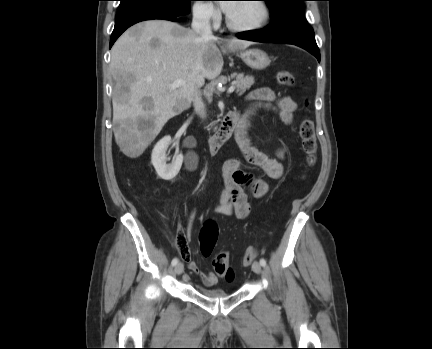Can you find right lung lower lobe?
Segmentation results:
<instances>
[{
    "instance_id": "obj_1",
    "label": "right lung lower lobe",
    "mask_w": 432,
    "mask_h": 349,
    "mask_svg": "<svg viewBox=\"0 0 432 349\" xmlns=\"http://www.w3.org/2000/svg\"><path fill=\"white\" fill-rule=\"evenodd\" d=\"M189 11L177 12L164 6L152 4L139 5L123 11H119L116 15L114 30L111 34L110 48L117 40V38L128 27L132 26L135 23L153 19L180 21V18L183 15L188 14Z\"/></svg>"
}]
</instances>
